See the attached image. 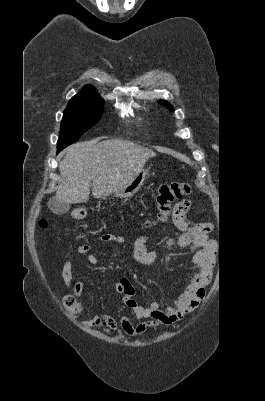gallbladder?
Segmentation results:
<instances>
[{
    "label": "gallbladder",
    "mask_w": 265,
    "mask_h": 401,
    "mask_svg": "<svg viewBox=\"0 0 265 401\" xmlns=\"http://www.w3.org/2000/svg\"><path fill=\"white\" fill-rule=\"evenodd\" d=\"M47 205L48 209H50L52 213H55V215H64V213L69 211L72 203H59L56 196H52V198H49Z\"/></svg>",
    "instance_id": "obj_1"
}]
</instances>
